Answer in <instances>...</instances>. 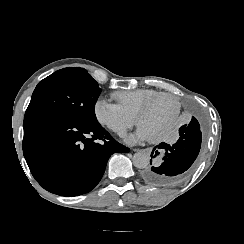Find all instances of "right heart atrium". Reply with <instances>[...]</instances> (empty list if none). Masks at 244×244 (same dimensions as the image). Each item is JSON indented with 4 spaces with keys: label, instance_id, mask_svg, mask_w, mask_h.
Segmentation results:
<instances>
[{
    "label": "right heart atrium",
    "instance_id": "d8ad5b80",
    "mask_svg": "<svg viewBox=\"0 0 244 244\" xmlns=\"http://www.w3.org/2000/svg\"><path fill=\"white\" fill-rule=\"evenodd\" d=\"M97 120L119 136L137 124L136 115L119 103H113L107 97L99 98L94 105Z\"/></svg>",
    "mask_w": 244,
    "mask_h": 244
}]
</instances>
